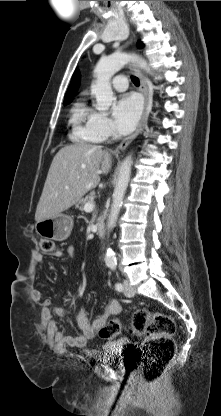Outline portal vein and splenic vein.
Here are the masks:
<instances>
[{
    "mask_svg": "<svg viewBox=\"0 0 221 416\" xmlns=\"http://www.w3.org/2000/svg\"><path fill=\"white\" fill-rule=\"evenodd\" d=\"M94 208H95V203L93 201H90L84 205L85 212H92Z\"/></svg>",
    "mask_w": 221,
    "mask_h": 416,
    "instance_id": "obj_1",
    "label": "portal vein and splenic vein"
}]
</instances>
